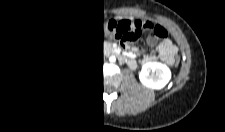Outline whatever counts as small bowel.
Segmentation results:
<instances>
[{"label": "small bowel", "mask_w": 225, "mask_h": 132, "mask_svg": "<svg viewBox=\"0 0 225 132\" xmlns=\"http://www.w3.org/2000/svg\"><path fill=\"white\" fill-rule=\"evenodd\" d=\"M112 22L120 32L134 31L138 27L144 28V30H150L153 29L154 27L162 28L161 26H154L151 22H146L139 19L136 20L124 19L120 21L112 20ZM156 39H157L156 37H150L148 40L149 44L151 46H154L156 44ZM121 45L124 49H130V46L127 42L121 41ZM137 52H139L138 47H131V56L128 59L129 66L131 68L136 67V61L133 59L132 55ZM156 52L157 55L155 54L154 51H152L149 55L146 56V60L153 61L158 57L161 61L165 62L168 65L175 64L178 48L176 47V45L172 43L170 39L164 38V40L160 42L156 47Z\"/></svg>", "instance_id": "c3829d8e"}]
</instances>
